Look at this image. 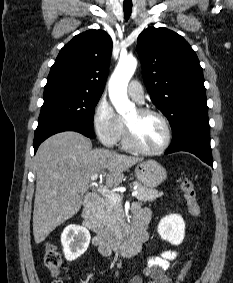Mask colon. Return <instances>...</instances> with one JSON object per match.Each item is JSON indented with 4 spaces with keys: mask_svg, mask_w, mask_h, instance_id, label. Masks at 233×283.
<instances>
[{
    "mask_svg": "<svg viewBox=\"0 0 233 283\" xmlns=\"http://www.w3.org/2000/svg\"><path fill=\"white\" fill-rule=\"evenodd\" d=\"M180 188L186 198L189 213L193 216H198L200 214V206L196 198V191L193 182L186 179L182 181ZM44 261L46 267L50 270L55 278L53 283H64L61 278H59L63 263L62 257L54 245H47ZM192 263L193 260H190L182 269L179 275L178 283H181L183 281L188 271L190 270Z\"/></svg>",
    "mask_w": 233,
    "mask_h": 283,
    "instance_id": "1",
    "label": "colon"
}]
</instances>
